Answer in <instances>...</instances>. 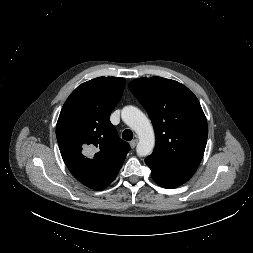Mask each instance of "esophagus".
<instances>
[{"instance_id":"esophagus-1","label":"esophagus","mask_w":253,"mask_h":253,"mask_svg":"<svg viewBox=\"0 0 253 253\" xmlns=\"http://www.w3.org/2000/svg\"><path fill=\"white\" fill-rule=\"evenodd\" d=\"M137 143H138V140H137V139L132 140V141L130 142V147H131L132 149H134V148L136 147Z\"/></svg>"}]
</instances>
